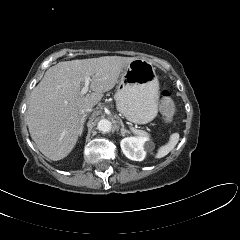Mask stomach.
Segmentation results:
<instances>
[{
  "instance_id": "0dacf381",
  "label": "stomach",
  "mask_w": 240,
  "mask_h": 240,
  "mask_svg": "<svg viewBox=\"0 0 240 240\" xmlns=\"http://www.w3.org/2000/svg\"><path fill=\"white\" fill-rule=\"evenodd\" d=\"M117 110L130 122L146 124L158 114L159 81L153 65L136 58L122 70L114 95Z\"/></svg>"
}]
</instances>
